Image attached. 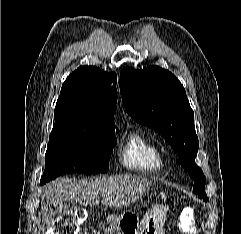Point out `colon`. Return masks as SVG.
<instances>
[{
  "instance_id": "obj_1",
  "label": "colon",
  "mask_w": 241,
  "mask_h": 234,
  "mask_svg": "<svg viewBox=\"0 0 241 234\" xmlns=\"http://www.w3.org/2000/svg\"><path fill=\"white\" fill-rule=\"evenodd\" d=\"M85 210L68 211L60 214L48 234H79L80 224L86 219ZM182 234H198L194 225V212L185 210L179 217Z\"/></svg>"
}]
</instances>
